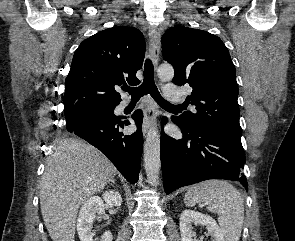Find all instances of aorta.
<instances>
[{"label":"aorta","mask_w":295,"mask_h":241,"mask_svg":"<svg viewBox=\"0 0 295 241\" xmlns=\"http://www.w3.org/2000/svg\"><path fill=\"white\" fill-rule=\"evenodd\" d=\"M157 72L161 80H171L174 76L173 67L167 64L159 66ZM144 168L149 183L157 186L160 174V135L155 128L149 130L144 144Z\"/></svg>","instance_id":"762f6f07"}]
</instances>
